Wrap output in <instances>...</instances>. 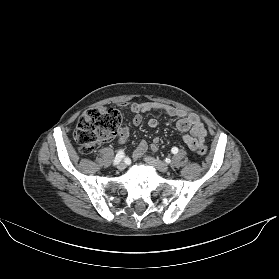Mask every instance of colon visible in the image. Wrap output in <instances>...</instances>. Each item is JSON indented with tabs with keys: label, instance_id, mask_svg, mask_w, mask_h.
<instances>
[{
	"label": "colon",
	"instance_id": "5ec220e1",
	"mask_svg": "<svg viewBox=\"0 0 279 279\" xmlns=\"http://www.w3.org/2000/svg\"><path fill=\"white\" fill-rule=\"evenodd\" d=\"M121 125V115L115 109H89L78 119L74 133L78 150L82 154L91 153L98 143L106 141L117 134ZM196 152L207 153L205 146L198 147Z\"/></svg>",
	"mask_w": 279,
	"mask_h": 279
}]
</instances>
